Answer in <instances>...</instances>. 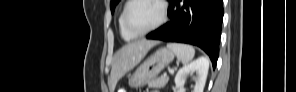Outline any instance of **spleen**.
Segmentation results:
<instances>
[{
	"mask_svg": "<svg viewBox=\"0 0 296 92\" xmlns=\"http://www.w3.org/2000/svg\"><path fill=\"white\" fill-rule=\"evenodd\" d=\"M167 48L173 51L183 64H188L195 55V49L187 44L168 43Z\"/></svg>",
	"mask_w": 296,
	"mask_h": 92,
	"instance_id": "obj_1",
	"label": "spleen"
}]
</instances>
